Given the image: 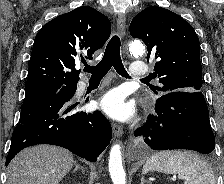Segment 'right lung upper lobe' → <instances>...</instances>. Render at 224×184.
<instances>
[{"label": "right lung upper lobe", "mask_w": 224, "mask_h": 184, "mask_svg": "<svg viewBox=\"0 0 224 184\" xmlns=\"http://www.w3.org/2000/svg\"><path fill=\"white\" fill-rule=\"evenodd\" d=\"M111 33L109 19L88 6L62 14L37 33L26 86L36 84L77 85L75 62L92 59Z\"/></svg>", "instance_id": "obj_1"}]
</instances>
